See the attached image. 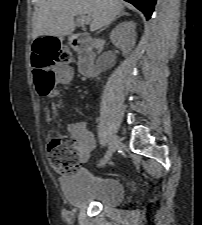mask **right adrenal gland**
<instances>
[{"instance_id": "right-adrenal-gland-1", "label": "right adrenal gland", "mask_w": 202, "mask_h": 225, "mask_svg": "<svg viewBox=\"0 0 202 225\" xmlns=\"http://www.w3.org/2000/svg\"><path fill=\"white\" fill-rule=\"evenodd\" d=\"M123 15H127V16H128V15H130V14H128V13H123V14L117 16L113 21H116L118 18H120V17L123 16ZM109 25H110V24L106 25V26H105L104 28H102L98 33H100L101 31L105 30L106 28H108Z\"/></svg>"}]
</instances>
